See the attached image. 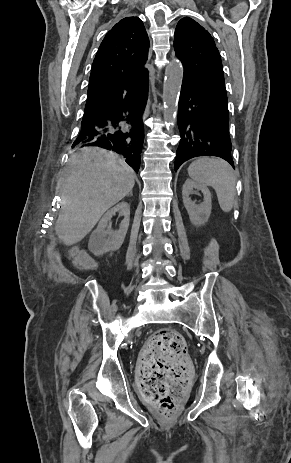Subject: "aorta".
<instances>
[{
  "mask_svg": "<svg viewBox=\"0 0 291 463\" xmlns=\"http://www.w3.org/2000/svg\"><path fill=\"white\" fill-rule=\"evenodd\" d=\"M166 81L163 87V102L165 106L164 119L170 126L176 123L178 99L183 79V67L178 61H172L165 70Z\"/></svg>",
  "mask_w": 291,
  "mask_h": 463,
  "instance_id": "762f6f07",
  "label": "aorta"
}]
</instances>
